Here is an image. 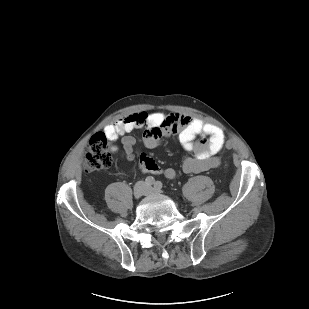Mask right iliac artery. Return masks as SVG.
Segmentation results:
<instances>
[{
	"label": "right iliac artery",
	"instance_id": "right-iliac-artery-1",
	"mask_svg": "<svg viewBox=\"0 0 309 309\" xmlns=\"http://www.w3.org/2000/svg\"><path fill=\"white\" fill-rule=\"evenodd\" d=\"M145 182L147 185H153L155 183V180L152 176H149L146 178Z\"/></svg>",
	"mask_w": 309,
	"mask_h": 309
}]
</instances>
